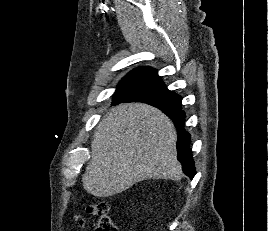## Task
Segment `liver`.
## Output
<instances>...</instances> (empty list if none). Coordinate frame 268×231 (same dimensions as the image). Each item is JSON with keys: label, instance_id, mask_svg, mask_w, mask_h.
Wrapping results in <instances>:
<instances>
[{"label": "liver", "instance_id": "liver-1", "mask_svg": "<svg viewBox=\"0 0 268 231\" xmlns=\"http://www.w3.org/2000/svg\"><path fill=\"white\" fill-rule=\"evenodd\" d=\"M176 142L173 123L159 109L145 103L112 108L94 133L84 189L108 197L150 178L178 180Z\"/></svg>", "mask_w": 268, "mask_h": 231}]
</instances>
